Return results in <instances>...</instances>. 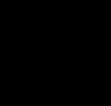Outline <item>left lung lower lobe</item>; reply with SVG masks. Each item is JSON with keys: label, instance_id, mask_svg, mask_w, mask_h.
Segmentation results:
<instances>
[{"label": "left lung lower lobe", "instance_id": "1", "mask_svg": "<svg viewBox=\"0 0 111 106\" xmlns=\"http://www.w3.org/2000/svg\"><path fill=\"white\" fill-rule=\"evenodd\" d=\"M66 14L80 54L100 69L111 70V0H69Z\"/></svg>", "mask_w": 111, "mask_h": 106}]
</instances>
